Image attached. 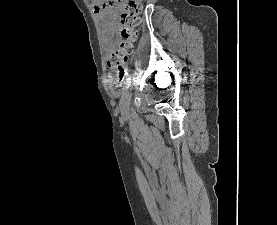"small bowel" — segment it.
Masks as SVG:
<instances>
[{
  "mask_svg": "<svg viewBox=\"0 0 277 225\" xmlns=\"http://www.w3.org/2000/svg\"><path fill=\"white\" fill-rule=\"evenodd\" d=\"M124 4L120 3L116 6L117 10L122 9ZM98 16L106 21V25L115 30V19L118 15L117 10L113 8H104L102 5L95 6Z\"/></svg>",
  "mask_w": 277,
  "mask_h": 225,
  "instance_id": "1",
  "label": "small bowel"
}]
</instances>
